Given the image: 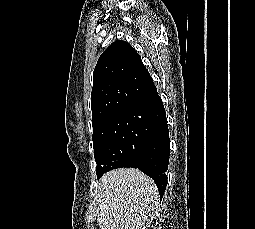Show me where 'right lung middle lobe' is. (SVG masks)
I'll return each instance as SVG.
<instances>
[{"instance_id": "1", "label": "right lung middle lobe", "mask_w": 255, "mask_h": 229, "mask_svg": "<svg viewBox=\"0 0 255 229\" xmlns=\"http://www.w3.org/2000/svg\"><path fill=\"white\" fill-rule=\"evenodd\" d=\"M150 134L145 122L126 110L104 121L92 136L97 178L137 163Z\"/></svg>"}]
</instances>
